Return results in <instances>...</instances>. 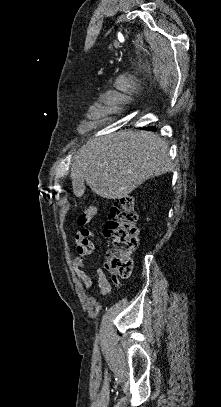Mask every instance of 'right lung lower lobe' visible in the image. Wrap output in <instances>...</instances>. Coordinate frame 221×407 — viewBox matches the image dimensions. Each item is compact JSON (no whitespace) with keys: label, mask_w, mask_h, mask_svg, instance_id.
Instances as JSON below:
<instances>
[{"label":"right lung lower lobe","mask_w":221,"mask_h":407,"mask_svg":"<svg viewBox=\"0 0 221 407\" xmlns=\"http://www.w3.org/2000/svg\"><path fill=\"white\" fill-rule=\"evenodd\" d=\"M147 129H149V130H155V128H154V127H150V128H147Z\"/></svg>","instance_id":"98d812e1"}]
</instances>
